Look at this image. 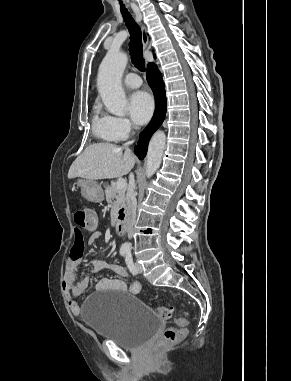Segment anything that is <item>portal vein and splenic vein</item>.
I'll list each match as a JSON object with an SVG mask.
<instances>
[{
  "label": "portal vein and splenic vein",
  "mask_w": 291,
  "mask_h": 381,
  "mask_svg": "<svg viewBox=\"0 0 291 381\" xmlns=\"http://www.w3.org/2000/svg\"><path fill=\"white\" fill-rule=\"evenodd\" d=\"M117 189H124L126 187V181L123 178H119L116 183Z\"/></svg>",
  "instance_id": "portal-vein-and-splenic-vein-1"
}]
</instances>
